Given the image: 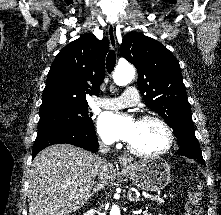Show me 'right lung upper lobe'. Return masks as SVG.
Returning a JSON list of instances; mask_svg holds the SVG:
<instances>
[{
    "label": "right lung upper lobe",
    "instance_id": "obj_1",
    "mask_svg": "<svg viewBox=\"0 0 221 215\" xmlns=\"http://www.w3.org/2000/svg\"><path fill=\"white\" fill-rule=\"evenodd\" d=\"M106 39L85 34L56 56L43 91L40 115L88 106L86 94L98 95L105 76Z\"/></svg>",
    "mask_w": 221,
    "mask_h": 215
}]
</instances>
